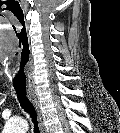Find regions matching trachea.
Segmentation results:
<instances>
[{"instance_id":"3493384b","label":"trachea","mask_w":120,"mask_h":133,"mask_svg":"<svg viewBox=\"0 0 120 133\" xmlns=\"http://www.w3.org/2000/svg\"><path fill=\"white\" fill-rule=\"evenodd\" d=\"M21 107L30 114L34 123V133H40L35 106L28 99L25 88H15Z\"/></svg>"}]
</instances>
